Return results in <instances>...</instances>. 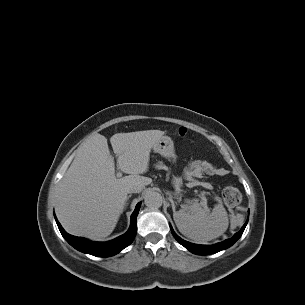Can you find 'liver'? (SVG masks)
I'll list each match as a JSON object with an SVG mask.
<instances>
[{
  "label": "liver",
  "instance_id": "liver-1",
  "mask_svg": "<svg viewBox=\"0 0 305 305\" xmlns=\"http://www.w3.org/2000/svg\"><path fill=\"white\" fill-rule=\"evenodd\" d=\"M160 130L116 133L110 138L118 166L129 176L116 178L114 158L101 134L87 138L56 190V214L70 234L103 239L114 230L123 212L128 189L147 186L150 151L163 137Z\"/></svg>",
  "mask_w": 305,
  "mask_h": 305
}]
</instances>
